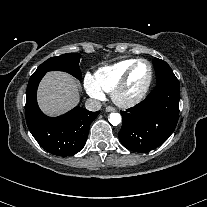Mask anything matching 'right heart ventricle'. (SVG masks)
Masks as SVG:
<instances>
[{
    "label": "right heart ventricle",
    "mask_w": 207,
    "mask_h": 207,
    "mask_svg": "<svg viewBox=\"0 0 207 207\" xmlns=\"http://www.w3.org/2000/svg\"><path fill=\"white\" fill-rule=\"evenodd\" d=\"M135 59H124L109 66L99 68L93 76V81L103 92H111L128 67Z\"/></svg>",
    "instance_id": "1"
}]
</instances>
